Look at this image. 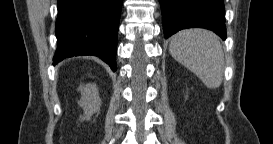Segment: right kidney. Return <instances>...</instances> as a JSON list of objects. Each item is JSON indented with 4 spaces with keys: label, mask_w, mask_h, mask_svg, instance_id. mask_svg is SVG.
I'll return each instance as SVG.
<instances>
[{
    "label": "right kidney",
    "mask_w": 273,
    "mask_h": 144,
    "mask_svg": "<svg viewBox=\"0 0 273 144\" xmlns=\"http://www.w3.org/2000/svg\"><path fill=\"white\" fill-rule=\"evenodd\" d=\"M82 98L79 105L83 108L85 116L82 119H90L95 112L94 103L98 99V89L94 84H87L80 87Z\"/></svg>",
    "instance_id": "obj_1"
}]
</instances>
